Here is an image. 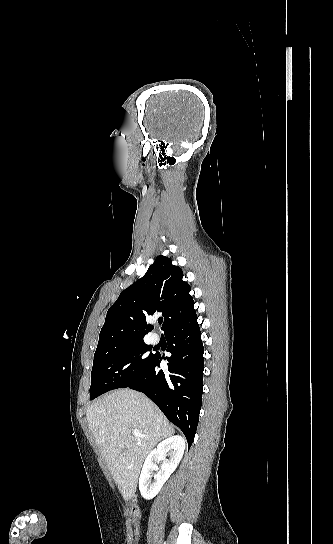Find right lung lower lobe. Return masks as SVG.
Wrapping results in <instances>:
<instances>
[{
	"instance_id": "obj_1",
	"label": "right lung lower lobe",
	"mask_w": 333,
	"mask_h": 544,
	"mask_svg": "<svg viewBox=\"0 0 333 544\" xmlns=\"http://www.w3.org/2000/svg\"><path fill=\"white\" fill-rule=\"evenodd\" d=\"M168 342V370L160 368L163 359L155 357L134 383L126 386L147 395L179 427L190 447L198 425L202 404L204 347L196 313L173 323L165 330Z\"/></svg>"
}]
</instances>
